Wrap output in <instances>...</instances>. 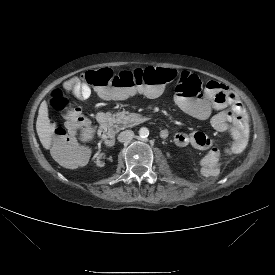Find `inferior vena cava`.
Instances as JSON below:
<instances>
[{
	"label": "inferior vena cava",
	"instance_id": "1",
	"mask_svg": "<svg viewBox=\"0 0 275 275\" xmlns=\"http://www.w3.org/2000/svg\"><path fill=\"white\" fill-rule=\"evenodd\" d=\"M133 137H134V132L132 130H125L118 135L117 139L119 142H126L128 140H131Z\"/></svg>",
	"mask_w": 275,
	"mask_h": 275
}]
</instances>
